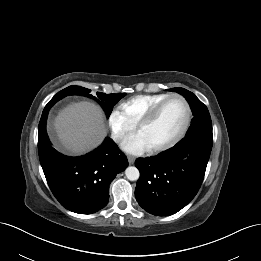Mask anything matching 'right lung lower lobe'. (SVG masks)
<instances>
[{"mask_svg": "<svg viewBox=\"0 0 261 261\" xmlns=\"http://www.w3.org/2000/svg\"><path fill=\"white\" fill-rule=\"evenodd\" d=\"M47 104L39 123V159L48 185L66 209L79 214H91L104 208L109 200V185L128 166L126 156L111 138H106L96 150L69 157L56 151L46 133Z\"/></svg>", "mask_w": 261, "mask_h": 261, "instance_id": "right-lung-lower-lobe-1", "label": "right lung lower lobe"}]
</instances>
